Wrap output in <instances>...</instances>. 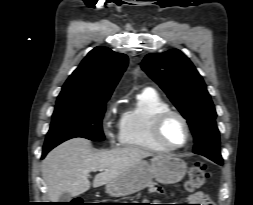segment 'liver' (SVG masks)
Returning <instances> with one entry per match:
<instances>
[{
  "mask_svg": "<svg viewBox=\"0 0 253 205\" xmlns=\"http://www.w3.org/2000/svg\"><path fill=\"white\" fill-rule=\"evenodd\" d=\"M151 155L150 152L133 146L92 152L89 140L73 138L48 153L42 162V176L50 200L58 202L64 192L78 196L89 190L90 172L101 171L93 180V187L97 188L108 184Z\"/></svg>",
  "mask_w": 253,
  "mask_h": 205,
  "instance_id": "6515ba94",
  "label": "liver"
}]
</instances>
